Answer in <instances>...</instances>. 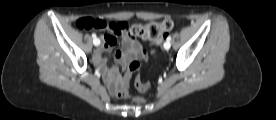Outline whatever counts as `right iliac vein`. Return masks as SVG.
<instances>
[{"label": "right iliac vein", "instance_id": "right-iliac-vein-1", "mask_svg": "<svg viewBox=\"0 0 276 120\" xmlns=\"http://www.w3.org/2000/svg\"><path fill=\"white\" fill-rule=\"evenodd\" d=\"M94 42H95V43H98V42H99V39H96ZM95 46H99V44H98V45H95Z\"/></svg>", "mask_w": 276, "mask_h": 120}]
</instances>
